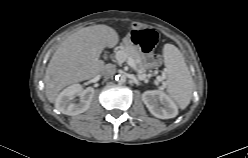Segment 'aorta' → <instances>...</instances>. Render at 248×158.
<instances>
[{"mask_svg": "<svg viewBox=\"0 0 248 158\" xmlns=\"http://www.w3.org/2000/svg\"><path fill=\"white\" fill-rule=\"evenodd\" d=\"M116 80L123 83L126 81V77L124 75H118Z\"/></svg>", "mask_w": 248, "mask_h": 158, "instance_id": "aorta-1", "label": "aorta"}]
</instances>
